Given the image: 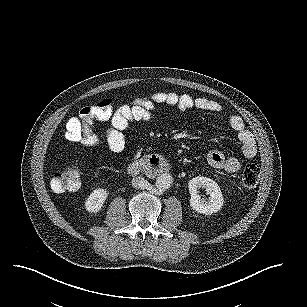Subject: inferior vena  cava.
<instances>
[{"label":"inferior vena cava","instance_id":"602c4592","mask_svg":"<svg viewBox=\"0 0 307 307\" xmlns=\"http://www.w3.org/2000/svg\"><path fill=\"white\" fill-rule=\"evenodd\" d=\"M131 185L135 189H145L148 186V181L141 176H136L131 180Z\"/></svg>","mask_w":307,"mask_h":307}]
</instances>
